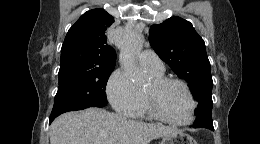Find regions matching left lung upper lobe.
I'll return each mask as SVG.
<instances>
[{
  "label": "left lung upper lobe",
  "mask_w": 260,
  "mask_h": 144,
  "mask_svg": "<svg viewBox=\"0 0 260 144\" xmlns=\"http://www.w3.org/2000/svg\"><path fill=\"white\" fill-rule=\"evenodd\" d=\"M149 42L174 73L189 83L192 95L199 102L194 128L212 130L213 81L204 40L190 22L172 17L150 27Z\"/></svg>",
  "instance_id": "1"
}]
</instances>
